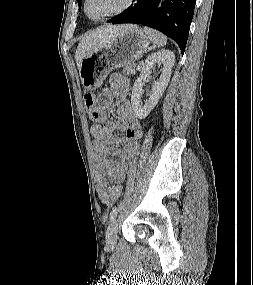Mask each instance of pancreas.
<instances>
[{
    "label": "pancreas",
    "mask_w": 253,
    "mask_h": 285,
    "mask_svg": "<svg viewBox=\"0 0 253 285\" xmlns=\"http://www.w3.org/2000/svg\"><path fill=\"white\" fill-rule=\"evenodd\" d=\"M123 73H124L125 75L134 74V73H135V64L133 63V64H130V65L124 67Z\"/></svg>",
    "instance_id": "obj_1"
}]
</instances>
